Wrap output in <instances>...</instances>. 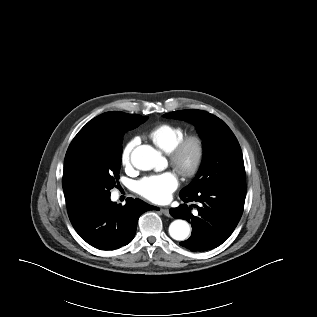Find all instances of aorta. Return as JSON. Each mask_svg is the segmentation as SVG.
Here are the masks:
<instances>
[{"label":"aorta","mask_w":317,"mask_h":317,"mask_svg":"<svg viewBox=\"0 0 317 317\" xmlns=\"http://www.w3.org/2000/svg\"><path fill=\"white\" fill-rule=\"evenodd\" d=\"M131 162L139 170L164 169L166 160L161 153L149 145L136 147L131 153ZM170 236L178 241L187 239L190 226L185 220H174L169 226Z\"/></svg>","instance_id":"aorta-1"}]
</instances>
